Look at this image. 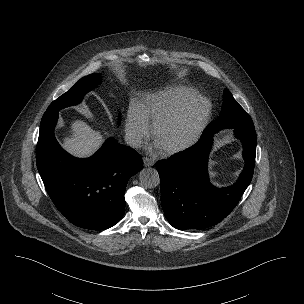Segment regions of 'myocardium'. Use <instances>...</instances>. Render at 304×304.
Returning <instances> with one entry per match:
<instances>
[{
    "label": "myocardium",
    "instance_id": "1",
    "mask_svg": "<svg viewBox=\"0 0 304 304\" xmlns=\"http://www.w3.org/2000/svg\"><path fill=\"white\" fill-rule=\"evenodd\" d=\"M195 104H200L203 106V112L197 127L195 128L191 136L185 141L173 146L162 147L165 153L169 155H173L184 152L190 149L199 141L210 121L212 115V104L210 100L205 96H202L200 94H195L189 97L188 99H186L184 102H182L174 110L168 112L167 114L163 115L154 122L152 133L154 140H157L159 131L165 124L181 116L185 111H187Z\"/></svg>",
    "mask_w": 304,
    "mask_h": 304
}]
</instances>
